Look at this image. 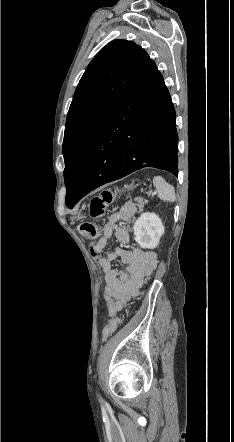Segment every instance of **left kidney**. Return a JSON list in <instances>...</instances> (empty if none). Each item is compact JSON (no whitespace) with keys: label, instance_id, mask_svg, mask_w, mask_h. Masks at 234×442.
<instances>
[{"label":"left kidney","instance_id":"1","mask_svg":"<svg viewBox=\"0 0 234 442\" xmlns=\"http://www.w3.org/2000/svg\"><path fill=\"white\" fill-rule=\"evenodd\" d=\"M135 241L141 248L154 249L158 246L165 228L155 213H143L134 224Z\"/></svg>","mask_w":234,"mask_h":442}]
</instances>
